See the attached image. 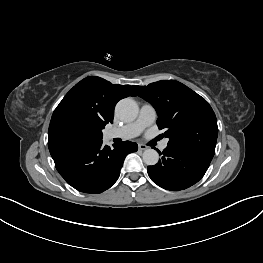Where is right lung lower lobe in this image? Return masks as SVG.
<instances>
[{"label":"right lung lower lobe","instance_id":"right-lung-lower-lobe-1","mask_svg":"<svg viewBox=\"0 0 263 263\" xmlns=\"http://www.w3.org/2000/svg\"><path fill=\"white\" fill-rule=\"evenodd\" d=\"M138 145L124 141L111 149L98 140L51 154L56 169L73 188L84 193H101L118 179L125 157Z\"/></svg>","mask_w":263,"mask_h":263}]
</instances>
